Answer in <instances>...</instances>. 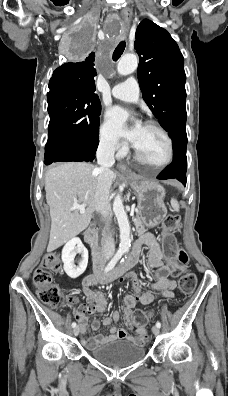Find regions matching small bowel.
Segmentation results:
<instances>
[{
    "instance_id": "small-bowel-1",
    "label": "small bowel",
    "mask_w": 228,
    "mask_h": 396,
    "mask_svg": "<svg viewBox=\"0 0 228 396\" xmlns=\"http://www.w3.org/2000/svg\"><path fill=\"white\" fill-rule=\"evenodd\" d=\"M142 245L149 247V253L147 255L148 265L154 269L155 281L150 285L151 289L157 291L158 294L152 292L140 293V284L136 277L132 274L119 278V281L130 280L132 283L131 294H127L124 297V327L117 328L114 323L120 319L119 311L115 310L111 317L104 318L103 320L95 319L92 321V329L98 330L101 325L109 327L108 335H96L94 337L81 338L83 346L87 349L94 348L102 343L112 340H128L144 344L148 340V332L144 327H137L131 321V314L138 304L147 305L152 303L158 298L174 297V290L177 287V283L170 277L171 267L164 262V253L158 242L157 237L152 233H146L137 241L133 247L130 258H134L135 262L138 259ZM107 273V272H106ZM104 274L96 272V274L86 277L83 280V290L86 296L87 305L82 304L79 306L75 313V317L79 322L81 333L83 334L86 330L88 315L93 313H101L106 309L107 301L104 294L101 291H95L92 289L98 283H107L104 281ZM126 329H135V335H129Z\"/></svg>"
}]
</instances>
